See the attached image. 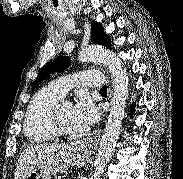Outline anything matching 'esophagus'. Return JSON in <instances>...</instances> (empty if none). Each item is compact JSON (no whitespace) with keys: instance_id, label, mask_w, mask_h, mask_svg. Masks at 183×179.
I'll use <instances>...</instances> for the list:
<instances>
[{"instance_id":"1","label":"esophagus","mask_w":183,"mask_h":179,"mask_svg":"<svg viewBox=\"0 0 183 179\" xmlns=\"http://www.w3.org/2000/svg\"><path fill=\"white\" fill-rule=\"evenodd\" d=\"M101 130H96L91 133L89 136L84 138L82 141L79 142V145L87 150H93L97 147L98 142L100 140Z\"/></svg>"}]
</instances>
